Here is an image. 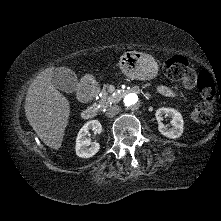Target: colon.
Returning <instances> with one entry per match:
<instances>
[{
  "label": "colon",
  "mask_w": 221,
  "mask_h": 221,
  "mask_svg": "<svg viewBox=\"0 0 221 221\" xmlns=\"http://www.w3.org/2000/svg\"><path fill=\"white\" fill-rule=\"evenodd\" d=\"M164 74L175 81H179L188 89L196 88L202 101L192 110L191 117L194 121L205 123L213 114V102L215 98V83L211 75L206 71L196 73L187 60L182 56H173L163 64Z\"/></svg>",
  "instance_id": "5ec220e1"
}]
</instances>
